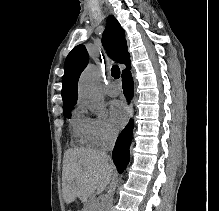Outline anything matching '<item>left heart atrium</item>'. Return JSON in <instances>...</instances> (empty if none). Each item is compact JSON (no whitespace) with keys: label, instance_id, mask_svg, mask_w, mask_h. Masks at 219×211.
<instances>
[{"label":"left heart atrium","instance_id":"obj_1","mask_svg":"<svg viewBox=\"0 0 219 211\" xmlns=\"http://www.w3.org/2000/svg\"><path fill=\"white\" fill-rule=\"evenodd\" d=\"M109 112L112 122L116 126L123 125L128 118V110L121 100H113L109 104Z\"/></svg>","mask_w":219,"mask_h":211}]
</instances>
